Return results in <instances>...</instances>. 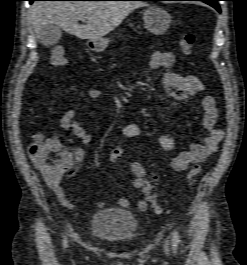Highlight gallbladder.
I'll list each match as a JSON object with an SVG mask.
<instances>
[{"label":"gallbladder","mask_w":247,"mask_h":265,"mask_svg":"<svg viewBox=\"0 0 247 265\" xmlns=\"http://www.w3.org/2000/svg\"><path fill=\"white\" fill-rule=\"evenodd\" d=\"M62 36V28L56 24H46L39 34V41L46 47L54 46Z\"/></svg>","instance_id":"bac80fb5"}]
</instances>
